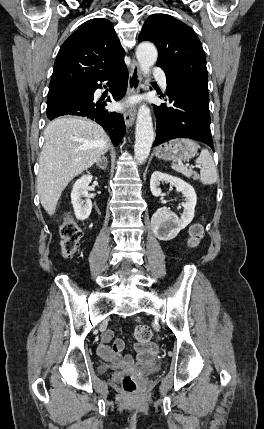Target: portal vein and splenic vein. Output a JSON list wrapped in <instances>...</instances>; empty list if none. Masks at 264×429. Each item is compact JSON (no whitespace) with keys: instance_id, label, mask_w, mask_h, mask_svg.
Segmentation results:
<instances>
[{"instance_id":"obj_1","label":"portal vein and splenic vein","mask_w":264,"mask_h":429,"mask_svg":"<svg viewBox=\"0 0 264 429\" xmlns=\"http://www.w3.org/2000/svg\"><path fill=\"white\" fill-rule=\"evenodd\" d=\"M186 167H189L190 169H194L196 166H193V165H189V164H186L185 165Z\"/></svg>"}]
</instances>
